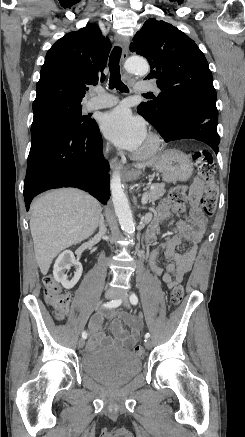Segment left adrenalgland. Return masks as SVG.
I'll return each instance as SVG.
<instances>
[{"instance_id":"1","label":"left adrenal gland","mask_w":245,"mask_h":437,"mask_svg":"<svg viewBox=\"0 0 245 437\" xmlns=\"http://www.w3.org/2000/svg\"><path fill=\"white\" fill-rule=\"evenodd\" d=\"M133 200H134V203L136 204V202H137V199H136V197H133ZM142 208H144V209H145V207H142Z\"/></svg>"}]
</instances>
